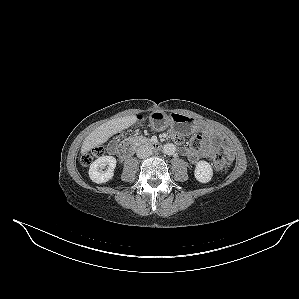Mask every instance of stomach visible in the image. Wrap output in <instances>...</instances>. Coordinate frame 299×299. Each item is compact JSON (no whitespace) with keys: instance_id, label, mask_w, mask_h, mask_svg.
Here are the masks:
<instances>
[{"instance_id":"0dacf381","label":"stomach","mask_w":299,"mask_h":299,"mask_svg":"<svg viewBox=\"0 0 299 299\" xmlns=\"http://www.w3.org/2000/svg\"><path fill=\"white\" fill-rule=\"evenodd\" d=\"M149 119L151 127L157 131H162L171 126L183 134H189L193 130L195 124L193 119L186 115L179 113L167 115L159 110L153 111L150 114Z\"/></svg>"}]
</instances>
